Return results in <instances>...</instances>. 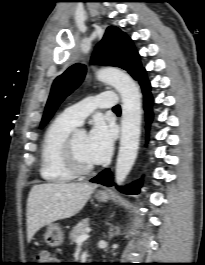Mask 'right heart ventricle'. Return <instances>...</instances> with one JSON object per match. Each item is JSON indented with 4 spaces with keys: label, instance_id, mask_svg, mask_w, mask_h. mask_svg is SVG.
<instances>
[{
    "label": "right heart ventricle",
    "instance_id": "1",
    "mask_svg": "<svg viewBox=\"0 0 205 265\" xmlns=\"http://www.w3.org/2000/svg\"><path fill=\"white\" fill-rule=\"evenodd\" d=\"M76 124L63 115L58 116L47 128L41 145L40 174L51 183H66L74 178L65 159V145Z\"/></svg>",
    "mask_w": 205,
    "mask_h": 265
}]
</instances>
